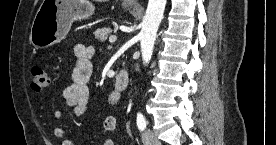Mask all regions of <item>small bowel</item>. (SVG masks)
<instances>
[{
	"instance_id": "small-bowel-1",
	"label": "small bowel",
	"mask_w": 276,
	"mask_h": 145,
	"mask_svg": "<svg viewBox=\"0 0 276 145\" xmlns=\"http://www.w3.org/2000/svg\"><path fill=\"white\" fill-rule=\"evenodd\" d=\"M76 60L72 71V83L67 86L62 94L63 106L71 108L76 118L85 115L88 108L89 88L88 82L92 75V50L78 45L75 48ZM120 95L116 91H112L108 97V103L115 105L119 101ZM63 112L57 109L54 112V118L61 120ZM104 128L109 132L116 131L118 128L117 119L114 116H108L104 120ZM54 137L62 140V145H73L68 139H65V130L62 127H56L53 131ZM103 145H114L110 139L105 140Z\"/></svg>"
}]
</instances>
